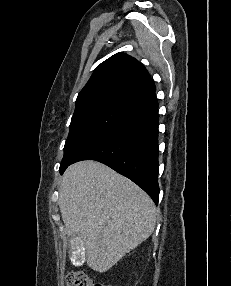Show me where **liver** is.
<instances>
[{
  "instance_id": "liver-1",
  "label": "liver",
  "mask_w": 231,
  "mask_h": 286,
  "mask_svg": "<svg viewBox=\"0 0 231 286\" xmlns=\"http://www.w3.org/2000/svg\"><path fill=\"white\" fill-rule=\"evenodd\" d=\"M71 244L86 250L87 265L105 272L154 231L156 206L135 183L96 161L65 171L58 201Z\"/></svg>"
}]
</instances>
